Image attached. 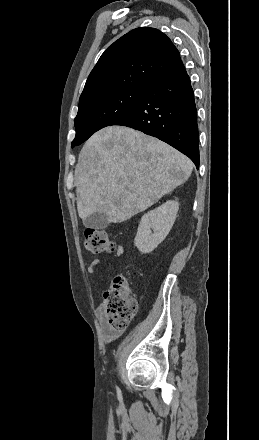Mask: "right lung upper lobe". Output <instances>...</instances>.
Returning a JSON list of instances; mask_svg holds the SVG:
<instances>
[{"label": "right lung upper lobe", "mask_w": 259, "mask_h": 440, "mask_svg": "<svg viewBox=\"0 0 259 440\" xmlns=\"http://www.w3.org/2000/svg\"><path fill=\"white\" fill-rule=\"evenodd\" d=\"M180 60L179 51L164 33L149 27L134 29L101 55L86 81L79 106L119 89L148 88Z\"/></svg>", "instance_id": "obj_1"}]
</instances>
